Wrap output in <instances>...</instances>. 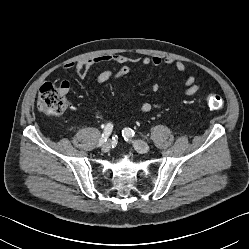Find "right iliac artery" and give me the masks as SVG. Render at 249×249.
<instances>
[{
  "label": "right iliac artery",
  "instance_id": "obj_1",
  "mask_svg": "<svg viewBox=\"0 0 249 249\" xmlns=\"http://www.w3.org/2000/svg\"><path fill=\"white\" fill-rule=\"evenodd\" d=\"M113 129V125L111 123H108L105 128H104V132L98 142V146H101L104 142L107 141L108 137L110 136L111 132Z\"/></svg>",
  "mask_w": 249,
  "mask_h": 249
}]
</instances>
